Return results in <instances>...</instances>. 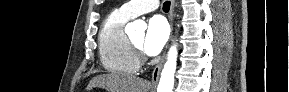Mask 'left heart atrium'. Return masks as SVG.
Wrapping results in <instances>:
<instances>
[{"mask_svg":"<svg viewBox=\"0 0 289 92\" xmlns=\"http://www.w3.org/2000/svg\"><path fill=\"white\" fill-rule=\"evenodd\" d=\"M169 36V27L165 19L155 15L148 21L147 31L143 41V49L149 56L158 55Z\"/></svg>","mask_w":289,"mask_h":92,"instance_id":"1","label":"left heart atrium"}]
</instances>
